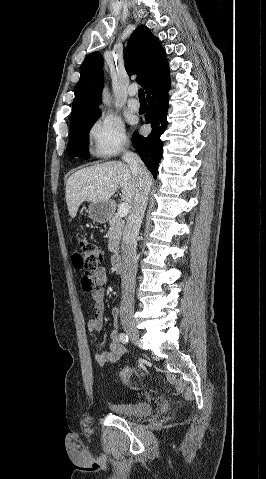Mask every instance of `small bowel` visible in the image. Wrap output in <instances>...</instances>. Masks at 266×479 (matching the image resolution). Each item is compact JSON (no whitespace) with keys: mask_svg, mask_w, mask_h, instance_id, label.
<instances>
[{"mask_svg":"<svg viewBox=\"0 0 266 479\" xmlns=\"http://www.w3.org/2000/svg\"><path fill=\"white\" fill-rule=\"evenodd\" d=\"M90 278L93 281L94 287L92 290V299L94 301V314L88 322V330L92 334L100 333L103 329L104 313H105V288L104 285L109 283V277L106 270L103 267L96 268L90 273ZM113 317V330L111 331V344L110 350L107 352H97L95 354V360L100 366L106 364L117 363L122 356H124L128 350L119 342L116 322L119 316V309L114 308L111 312Z\"/></svg>","mask_w":266,"mask_h":479,"instance_id":"obj_1","label":"small bowel"}]
</instances>
